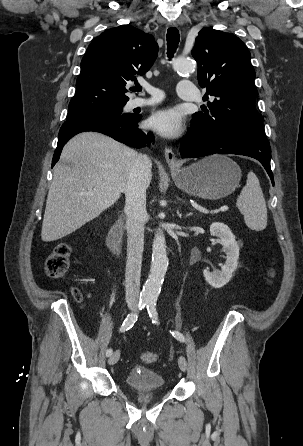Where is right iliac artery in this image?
I'll return each mask as SVG.
<instances>
[{
    "mask_svg": "<svg viewBox=\"0 0 303 446\" xmlns=\"http://www.w3.org/2000/svg\"><path fill=\"white\" fill-rule=\"evenodd\" d=\"M147 302H148V300H146V299H140L139 304H138V309L127 315L126 319L124 320L122 326L119 329L120 332H125V331L129 330L134 325V323L137 321V318H138V311L141 310L142 308H144L146 306ZM112 353H113V351L111 348L107 349L106 356L109 357L112 355Z\"/></svg>",
    "mask_w": 303,
    "mask_h": 446,
    "instance_id": "obj_1",
    "label": "right iliac artery"
}]
</instances>
